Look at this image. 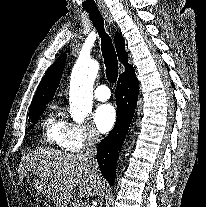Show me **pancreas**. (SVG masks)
Returning a JSON list of instances; mask_svg holds the SVG:
<instances>
[{
	"label": "pancreas",
	"instance_id": "pancreas-1",
	"mask_svg": "<svg viewBox=\"0 0 206 207\" xmlns=\"http://www.w3.org/2000/svg\"><path fill=\"white\" fill-rule=\"evenodd\" d=\"M71 207H88V206H84V203L81 200H73L71 203Z\"/></svg>",
	"mask_w": 206,
	"mask_h": 207
}]
</instances>
